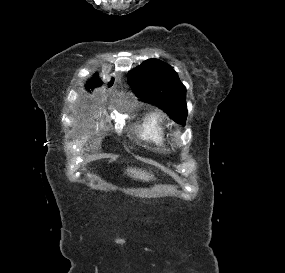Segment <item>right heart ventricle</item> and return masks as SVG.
Returning <instances> with one entry per match:
<instances>
[{
	"label": "right heart ventricle",
	"mask_w": 285,
	"mask_h": 273,
	"mask_svg": "<svg viewBox=\"0 0 285 273\" xmlns=\"http://www.w3.org/2000/svg\"><path fill=\"white\" fill-rule=\"evenodd\" d=\"M138 136L149 143L162 147L166 145L172 136V132L163 116L156 111L144 116L138 126Z\"/></svg>",
	"instance_id": "1"
}]
</instances>
